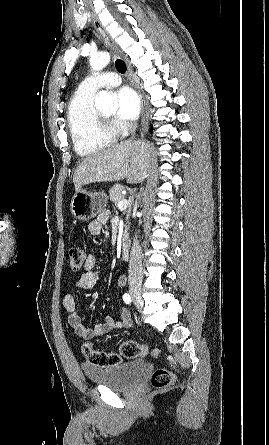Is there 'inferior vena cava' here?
Returning <instances> with one entry per match:
<instances>
[{
    "label": "inferior vena cava",
    "instance_id": "obj_1",
    "mask_svg": "<svg viewBox=\"0 0 269 445\" xmlns=\"http://www.w3.org/2000/svg\"><path fill=\"white\" fill-rule=\"evenodd\" d=\"M136 128H137V123L132 122L130 124L132 139L135 136ZM128 273H129L128 274L129 281L142 279L141 247L137 237L134 238L133 245L131 248Z\"/></svg>",
    "mask_w": 269,
    "mask_h": 445
}]
</instances>
